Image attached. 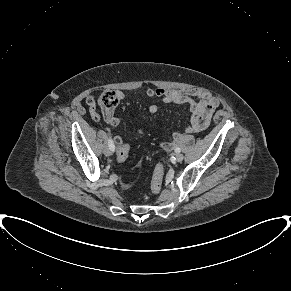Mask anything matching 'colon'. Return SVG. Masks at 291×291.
<instances>
[{"instance_id": "1", "label": "colon", "mask_w": 291, "mask_h": 291, "mask_svg": "<svg viewBox=\"0 0 291 291\" xmlns=\"http://www.w3.org/2000/svg\"><path fill=\"white\" fill-rule=\"evenodd\" d=\"M118 93L112 90L105 91L99 97V105L104 111H109L114 109L119 103ZM130 154V146L124 144L119 147L116 152V158L118 161H125ZM164 176V166L159 163L156 165L151 181V191L153 193H158L161 189Z\"/></svg>"}]
</instances>
